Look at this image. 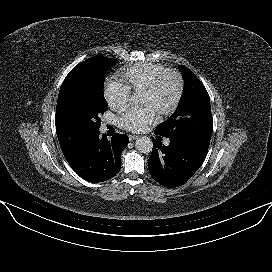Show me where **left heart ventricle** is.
Returning a JSON list of instances; mask_svg holds the SVG:
<instances>
[{
    "instance_id": "1",
    "label": "left heart ventricle",
    "mask_w": 272,
    "mask_h": 272,
    "mask_svg": "<svg viewBox=\"0 0 272 272\" xmlns=\"http://www.w3.org/2000/svg\"><path fill=\"white\" fill-rule=\"evenodd\" d=\"M177 93L178 78L175 74L168 73L153 91L140 94V103L151 105L158 113H161L172 105Z\"/></svg>"
}]
</instances>
